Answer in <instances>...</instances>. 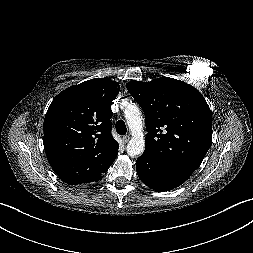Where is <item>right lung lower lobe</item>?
<instances>
[{
	"label": "right lung lower lobe",
	"instance_id": "right-lung-lower-lobe-1",
	"mask_svg": "<svg viewBox=\"0 0 253 253\" xmlns=\"http://www.w3.org/2000/svg\"><path fill=\"white\" fill-rule=\"evenodd\" d=\"M102 177H100L99 179H97L96 181H99Z\"/></svg>",
	"mask_w": 253,
	"mask_h": 253
}]
</instances>
